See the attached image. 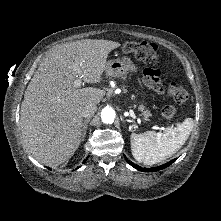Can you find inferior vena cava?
Here are the masks:
<instances>
[{
  "label": "inferior vena cava",
  "instance_id": "obj_1",
  "mask_svg": "<svg viewBox=\"0 0 221 221\" xmlns=\"http://www.w3.org/2000/svg\"><path fill=\"white\" fill-rule=\"evenodd\" d=\"M96 110L97 107L94 103H88L81 109V115L82 117L90 118L95 114Z\"/></svg>",
  "mask_w": 221,
  "mask_h": 221
}]
</instances>
